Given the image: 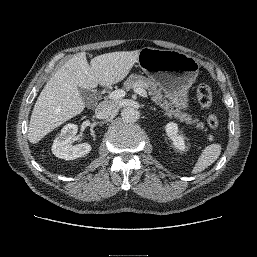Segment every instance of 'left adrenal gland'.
<instances>
[{
    "mask_svg": "<svg viewBox=\"0 0 257 257\" xmlns=\"http://www.w3.org/2000/svg\"><path fill=\"white\" fill-rule=\"evenodd\" d=\"M150 109H151V110H154V111L156 110V108H153V107H150Z\"/></svg>",
    "mask_w": 257,
    "mask_h": 257,
    "instance_id": "obj_1",
    "label": "left adrenal gland"
}]
</instances>
